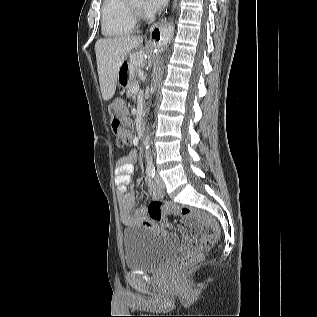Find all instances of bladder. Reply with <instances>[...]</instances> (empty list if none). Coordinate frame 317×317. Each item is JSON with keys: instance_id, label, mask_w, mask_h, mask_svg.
Masks as SVG:
<instances>
[{"instance_id": "1", "label": "bladder", "mask_w": 317, "mask_h": 317, "mask_svg": "<svg viewBox=\"0 0 317 317\" xmlns=\"http://www.w3.org/2000/svg\"><path fill=\"white\" fill-rule=\"evenodd\" d=\"M125 267L132 271H153L163 267L178 252L177 242L133 226L124 233Z\"/></svg>"}]
</instances>
